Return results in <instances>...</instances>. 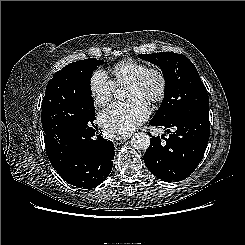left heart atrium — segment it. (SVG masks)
<instances>
[{
  "label": "left heart atrium",
  "instance_id": "1",
  "mask_svg": "<svg viewBox=\"0 0 245 245\" xmlns=\"http://www.w3.org/2000/svg\"><path fill=\"white\" fill-rule=\"evenodd\" d=\"M148 116L146 101L133 97L126 102L112 104L99 114L98 120L107 134L121 136L135 130Z\"/></svg>",
  "mask_w": 245,
  "mask_h": 245
}]
</instances>
